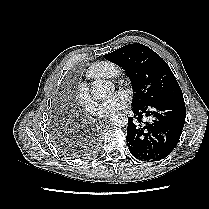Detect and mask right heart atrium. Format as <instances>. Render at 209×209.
<instances>
[{
  "label": "right heart atrium",
  "instance_id": "right-heart-atrium-1",
  "mask_svg": "<svg viewBox=\"0 0 209 209\" xmlns=\"http://www.w3.org/2000/svg\"><path fill=\"white\" fill-rule=\"evenodd\" d=\"M76 101L81 109L87 114L96 113V102L93 100L89 90L85 86L78 88L76 92Z\"/></svg>",
  "mask_w": 209,
  "mask_h": 209
}]
</instances>
